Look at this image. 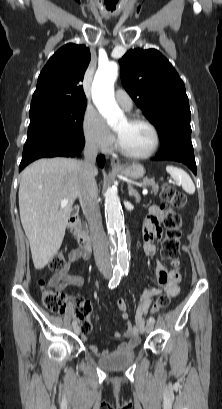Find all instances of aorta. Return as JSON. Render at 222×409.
Here are the masks:
<instances>
[{
	"label": "aorta",
	"mask_w": 222,
	"mask_h": 409,
	"mask_svg": "<svg viewBox=\"0 0 222 409\" xmlns=\"http://www.w3.org/2000/svg\"><path fill=\"white\" fill-rule=\"evenodd\" d=\"M117 73L118 66L114 62L99 66L92 83V100L110 126L116 125L122 117L114 98ZM105 214L115 264L120 271H124L129 266L130 253L120 199L113 188L105 193Z\"/></svg>",
	"instance_id": "obj_1"
}]
</instances>
